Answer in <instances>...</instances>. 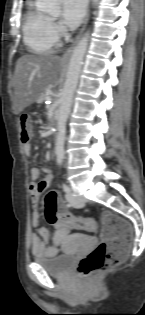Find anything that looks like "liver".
I'll return each instance as SVG.
<instances>
[{
	"instance_id": "1",
	"label": "liver",
	"mask_w": 145,
	"mask_h": 315,
	"mask_svg": "<svg viewBox=\"0 0 145 315\" xmlns=\"http://www.w3.org/2000/svg\"><path fill=\"white\" fill-rule=\"evenodd\" d=\"M62 65L61 58L53 54H26L17 60L12 97L15 114L40 99L44 90L56 83Z\"/></svg>"
}]
</instances>
